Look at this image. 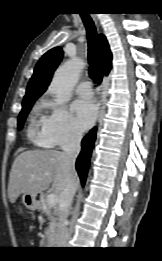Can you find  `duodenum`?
I'll return each mask as SVG.
<instances>
[{
    "label": "duodenum",
    "mask_w": 162,
    "mask_h": 261,
    "mask_svg": "<svg viewBox=\"0 0 162 261\" xmlns=\"http://www.w3.org/2000/svg\"><path fill=\"white\" fill-rule=\"evenodd\" d=\"M36 201H37L38 203H40V202L42 201V198H41L40 196H37V197H36Z\"/></svg>",
    "instance_id": "410a0bca"
}]
</instances>
